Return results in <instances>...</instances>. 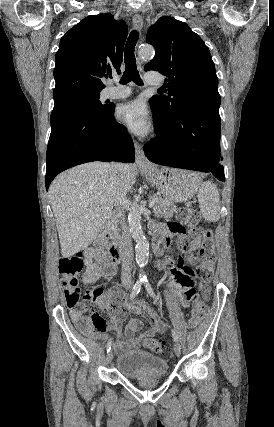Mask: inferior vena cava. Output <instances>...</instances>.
I'll list each match as a JSON object with an SVG mask.
<instances>
[{"instance_id": "obj_1", "label": "inferior vena cava", "mask_w": 274, "mask_h": 427, "mask_svg": "<svg viewBox=\"0 0 274 427\" xmlns=\"http://www.w3.org/2000/svg\"><path fill=\"white\" fill-rule=\"evenodd\" d=\"M111 168L113 172H121V170H124L123 166H119V164H111ZM127 202L126 198V192L124 188H118L115 196V204L117 212H119V223L120 227L122 229L121 231V247L124 249V251H128L129 255L127 257H124L123 263L125 265H128V267H131L132 263V241H131V235L129 233L128 225L125 223V214H124V206Z\"/></svg>"}]
</instances>
